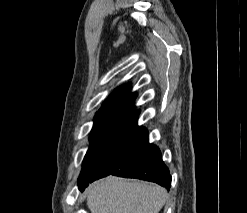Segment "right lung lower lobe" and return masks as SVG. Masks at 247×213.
Wrapping results in <instances>:
<instances>
[{"label":"right lung lower lobe","instance_id":"98d812e1","mask_svg":"<svg viewBox=\"0 0 247 213\" xmlns=\"http://www.w3.org/2000/svg\"><path fill=\"white\" fill-rule=\"evenodd\" d=\"M139 113L140 110L131 111L116 143L99 161V174L88 183L112 174L155 182L170 189L171 176L159 148L149 144L146 128L137 126ZM88 183L79 189L83 191Z\"/></svg>","mask_w":247,"mask_h":213}]
</instances>
